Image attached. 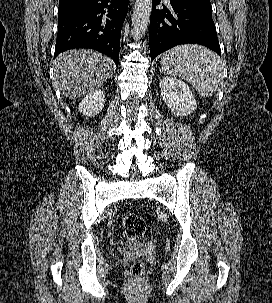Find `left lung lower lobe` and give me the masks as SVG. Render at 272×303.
<instances>
[{"label": "left lung lower lobe", "mask_w": 272, "mask_h": 303, "mask_svg": "<svg viewBox=\"0 0 272 303\" xmlns=\"http://www.w3.org/2000/svg\"><path fill=\"white\" fill-rule=\"evenodd\" d=\"M160 1L153 0L150 17L151 61L167 49L186 43L207 46L221 55L210 1L170 0V9L157 10Z\"/></svg>", "instance_id": "obj_1"}]
</instances>
